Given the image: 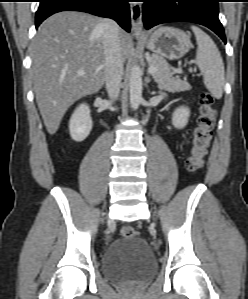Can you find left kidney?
I'll return each mask as SVG.
<instances>
[{
  "instance_id": "5707ae66",
  "label": "left kidney",
  "mask_w": 248,
  "mask_h": 299,
  "mask_svg": "<svg viewBox=\"0 0 248 299\" xmlns=\"http://www.w3.org/2000/svg\"><path fill=\"white\" fill-rule=\"evenodd\" d=\"M190 110L188 107L181 106L175 109L172 115V124L177 129L184 128L188 123Z\"/></svg>"
}]
</instances>
